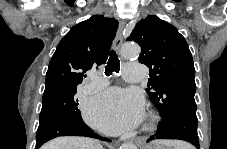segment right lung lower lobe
Returning a JSON list of instances; mask_svg holds the SVG:
<instances>
[{
	"label": "right lung lower lobe",
	"instance_id": "98d812e1",
	"mask_svg": "<svg viewBox=\"0 0 227 149\" xmlns=\"http://www.w3.org/2000/svg\"><path fill=\"white\" fill-rule=\"evenodd\" d=\"M58 136H86L110 141L95 134L84 121L66 120L39 125L35 149L40 148L45 142Z\"/></svg>",
	"mask_w": 227,
	"mask_h": 149
}]
</instances>
